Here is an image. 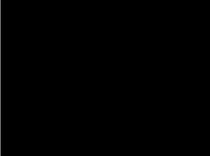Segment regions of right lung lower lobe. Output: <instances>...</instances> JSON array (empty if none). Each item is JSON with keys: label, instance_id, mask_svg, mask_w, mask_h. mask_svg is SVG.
Here are the masks:
<instances>
[{"label": "right lung lower lobe", "instance_id": "98d812e1", "mask_svg": "<svg viewBox=\"0 0 210 156\" xmlns=\"http://www.w3.org/2000/svg\"><path fill=\"white\" fill-rule=\"evenodd\" d=\"M61 134H63L64 136H72L74 134V132L73 131H66V132H61Z\"/></svg>", "mask_w": 210, "mask_h": 156}]
</instances>
